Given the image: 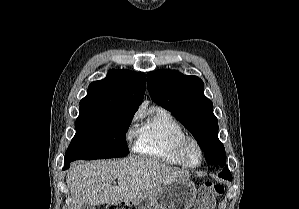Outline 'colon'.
<instances>
[{
	"mask_svg": "<svg viewBox=\"0 0 299 209\" xmlns=\"http://www.w3.org/2000/svg\"><path fill=\"white\" fill-rule=\"evenodd\" d=\"M201 206L198 209H213L216 200L224 192L221 184L206 182L201 186Z\"/></svg>",
	"mask_w": 299,
	"mask_h": 209,
	"instance_id": "obj_1",
	"label": "colon"
}]
</instances>
